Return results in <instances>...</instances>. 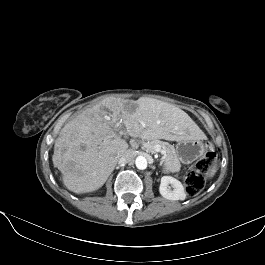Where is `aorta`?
Segmentation results:
<instances>
[{"label": "aorta", "mask_w": 265, "mask_h": 265, "mask_svg": "<svg viewBox=\"0 0 265 265\" xmlns=\"http://www.w3.org/2000/svg\"><path fill=\"white\" fill-rule=\"evenodd\" d=\"M135 165L139 170L147 168V159L144 156H137L135 159Z\"/></svg>", "instance_id": "obj_1"}]
</instances>
